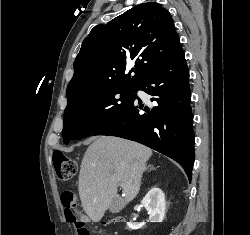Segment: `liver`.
I'll use <instances>...</instances> for the list:
<instances>
[{
  "label": "liver",
  "mask_w": 250,
  "mask_h": 235,
  "mask_svg": "<svg viewBox=\"0 0 250 235\" xmlns=\"http://www.w3.org/2000/svg\"><path fill=\"white\" fill-rule=\"evenodd\" d=\"M152 150L142 144L113 136L97 138L87 149L81 163L78 190L84 211L99 222L118 186L123 189V206L138 194L146 162Z\"/></svg>",
  "instance_id": "liver-1"
}]
</instances>
